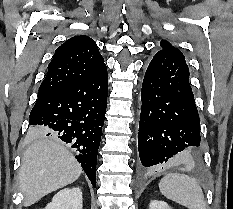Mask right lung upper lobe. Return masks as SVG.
<instances>
[{"label": "right lung upper lobe", "instance_id": "1", "mask_svg": "<svg viewBox=\"0 0 233 209\" xmlns=\"http://www.w3.org/2000/svg\"><path fill=\"white\" fill-rule=\"evenodd\" d=\"M103 66L104 59L94 40L84 35L74 36L55 51L39 87L38 98L76 84Z\"/></svg>", "mask_w": 233, "mask_h": 209}]
</instances>
